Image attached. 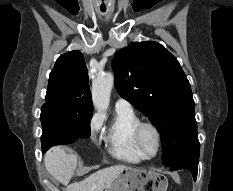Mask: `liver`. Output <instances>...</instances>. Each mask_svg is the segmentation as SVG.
<instances>
[{
	"label": "liver",
	"mask_w": 233,
	"mask_h": 191,
	"mask_svg": "<svg viewBox=\"0 0 233 191\" xmlns=\"http://www.w3.org/2000/svg\"><path fill=\"white\" fill-rule=\"evenodd\" d=\"M77 154L68 151L62 146L53 148L44 156V164L48 173L61 184L66 191H102L109 186L127 166L115 165L98 170L80 182L69 184L77 166Z\"/></svg>",
	"instance_id": "liver-1"
}]
</instances>
